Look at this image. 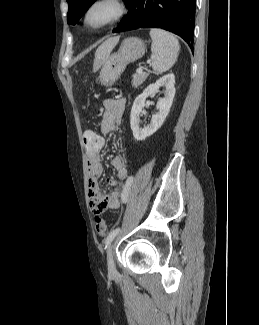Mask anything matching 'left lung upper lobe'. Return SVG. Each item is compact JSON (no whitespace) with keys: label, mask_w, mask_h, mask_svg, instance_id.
Returning a JSON list of instances; mask_svg holds the SVG:
<instances>
[{"label":"left lung upper lobe","mask_w":259,"mask_h":325,"mask_svg":"<svg viewBox=\"0 0 259 325\" xmlns=\"http://www.w3.org/2000/svg\"><path fill=\"white\" fill-rule=\"evenodd\" d=\"M67 2L69 4L67 22L75 25L95 0H67ZM124 2L127 4L129 0H124Z\"/></svg>","instance_id":"left-lung-upper-lobe-1"}]
</instances>
